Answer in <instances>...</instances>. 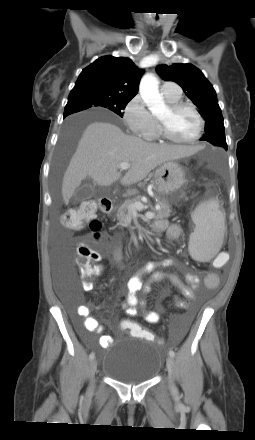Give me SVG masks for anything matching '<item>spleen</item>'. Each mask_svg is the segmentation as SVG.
I'll list each match as a JSON object with an SVG mask.
<instances>
[{"instance_id":"1","label":"spleen","mask_w":255,"mask_h":440,"mask_svg":"<svg viewBox=\"0 0 255 440\" xmlns=\"http://www.w3.org/2000/svg\"><path fill=\"white\" fill-rule=\"evenodd\" d=\"M194 232L190 235L188 250L200 262L212 259L223 243L225 217L216 200L201 203L193 212Z\"/></svg>"}]
</instances>
